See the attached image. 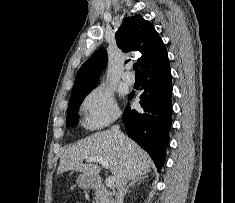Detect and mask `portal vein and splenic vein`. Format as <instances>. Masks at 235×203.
Instances as JSON below:
<instances>
[{"label":"portal vein and splenic vein","instance_id":"18ae733b","mask_svg":"<svg viewBox=\"0 0 235 203\" xmlns=\"http://www.w3.org/2000/svg\"><path fill=\"white\" fill-rule=\"evenodd\" d=\"M87 162H97V163H100L102 164V166L106 169L109 168V164L106 160H104L103 158L101 157H93V158H89L86 160ZM114 182H115V177L114 176H110L106 179L105 181V184L107 187H112L114 185Z\"/></svg>","mask_w":235,"mask_h":203}]
</instances>
